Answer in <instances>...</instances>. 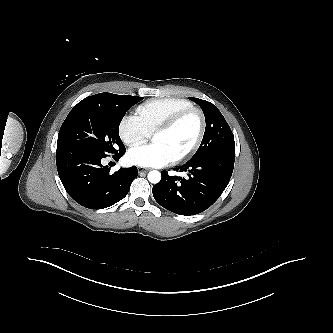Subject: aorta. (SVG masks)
<instances>
[{"label": "aorta", "mask_w": 333, "mask_h": 333, "mask_svg": "<svg viewBox=\"0 0 333 333\" xmlns=\"http://www.w3.org/2000/svg\"><path fill=\"white\" fill-rule=\"evenodd\" d=\"M148 180L149 182L156 184L158 182H160L161 180V173L157 170H152L148 173Z\"/></svg>", "instance_id": "obj_1"}]
</instances>
